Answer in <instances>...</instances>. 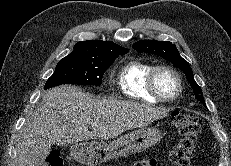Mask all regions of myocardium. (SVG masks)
Returning a JSON list of instances; mask_svg holds the SVG:
<instances>
[{"instance_id": "1", "label": "myocardium", "mask_w": 231, "mask_h": 166, "mask_svg": "<svg viewBox=\"0 0 231 166\" xmlns=\"http://www.w3.org/2000/svg\"><path fill=\"white\" fill-rule=\"evenodd\" d=\"M163 70L170 72L177 81L176 93L171 97H165L164 95H162L156 85L157 75L160 71H163ZM147 88H148L149 93L158 101L164 102V103H170V102L175 101L180 96L182 89H183V79L180 73L174 67L170 65H165V64L157 65L153 67V69L150 71L148 75Z\"/></svg>"}]
</instances>
